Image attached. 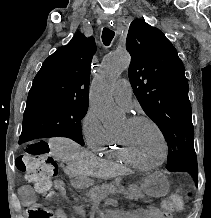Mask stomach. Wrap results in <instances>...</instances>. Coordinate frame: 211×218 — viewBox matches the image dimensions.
<instances>
[{
    "mask_svg": "<svg viewBox=\"0 0 211 218\" xmlns=\"http://www.w3.org/2000/svg\"><path fill=\"white\" fill-rule=\"evenodd\" d=\"M78 182L81 186H89L92 181L87 176H79ZM140 190L152 197H161L167 194L169 182L165 175L155 172L149 175L140 184Z\"/></svg>",
    "mask_w": 211,
    "mask_h": 218,
    "instance_id": "stomach-1",
    "label": "stomach"
}]
</instances>
